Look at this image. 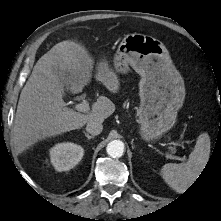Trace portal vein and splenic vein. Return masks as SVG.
<instances>
[{"label":"portal vein and splenic vein","mask_w":221,"mask_h":221,"mask_svg":"<svg viewBox=\"0 0 221 221\" xmlns=\"http://www.w3.org/2000/svg\"><path fill=\"white\" fill-rule=\"evenodd\" d=\"M75 108H76V110H78V111H80V112H84V113H88L89 110H90L89 103H88L87 100H83L81 103L77 104V105L75 106ZM165 156H166V158H168V159L181 160L180 157L173 156V155H171V154H169V153H166V152H165Z\"/></svg>","instance_id":"18ae733b"}]
</instances>
